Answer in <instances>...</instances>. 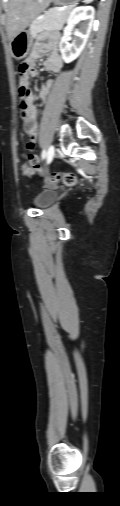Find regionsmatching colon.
<instances>
[{"label":"colon","mask_w":120,"mask_h":506,"mask_svg":"<svg viewBox=\"0 0 120 506\" xmlns=\"http://www.w3.org/2000/svg\"><path fill=\"white\" fill-rule=\"evenodd\" d=\"M27 71V65L23 62L19 66V72L24 73ZM29 91L24 88H19V96H20V107H22L24 99L28 96ZM29 146H32V142H29ZM22 175L25 177H32L34 175H41L42 170L39 165V160L34 155L27 156V162L23 164L22 168ZM77 178L75 174L73 173H52L46 178V183L50 186L56 185L58 183H63L66 186H72L76 184Z\"/></svg>","instance_id":"5ec220e1"}]
</instances>
